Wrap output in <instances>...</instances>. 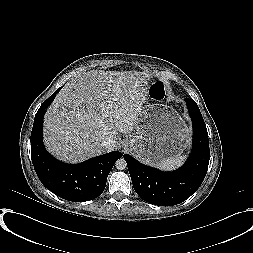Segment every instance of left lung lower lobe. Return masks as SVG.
Masks as SVG:
<instances>
[{"mask_svg": "<svg viewBox=\"0 0 253 253\" xmlns=\"http://www.w3.org/2000/svg\"><path fill=\"white\" fill-rule=\"evenodd\" d=\"M185 100L193 123V142L192 152L180 169L162 172L124 154L134 190L155 205H176L189 198L200 187L208 169L210 151L206 125L196 102Z\"/></svg>", "mask_w": 253, "mask_h": 253, "instance_id": "obj_1", "label": "left lung lower lobe"}]
</instances>
